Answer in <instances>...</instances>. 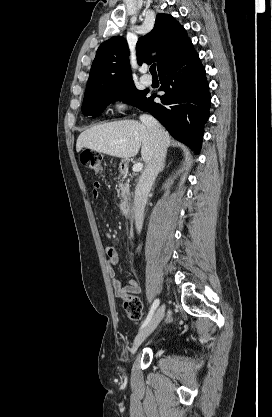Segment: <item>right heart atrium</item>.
<instances>
[{
	"mask_svg": "<svg viewBox=\"0 0 272 417\" xmlns=\"http://www.w3.org/2000/svg\"><path fill=\"white\" fill-rule=\"evenodd\" d=\"M127 99L125 97H118L116 98L113 103L112 106L116 111H123L126 107H127Z\"/></svg>",
	"mask_w": 272,
	"mask_h": 417,
	"instance_id": "d8ad5b80",
	"label": "right heart atrium"
}]
</instances>
